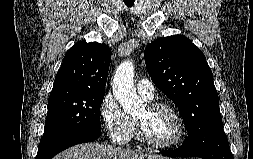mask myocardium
<instances>
[{
	"label": "myocardium",
	"instance_id": "obj_1",
	"mask_svg": "<svg viewBox=\"0 0 253 159\" xmlns=\"http://www.w3.org/2000/svg\"><path fill=\"white\" fill-rule=\"evenodd\" d=\"M146 107L149 110L165 109V110L169 111L170 113H172V115L175 117V119L177 121L178 131H177V134L174 137V139L171 140L170 142H166V143L154 142L148 138L141 122L137 118H135V129H136V134H137L138 140L143 145L148 146V147H152L155 149H170V148L177 146L183 140L185 133H186L185 122H184L182 116L180 115V113L178 112V110L174 106H172L166 102H161V101L149 102L146 104Z\"/></svg>",
	"mask_w": 253,
	"mask_h": 159
}]
</instances>
